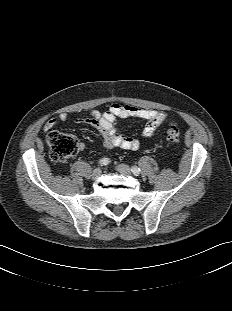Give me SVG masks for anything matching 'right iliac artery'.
Here are the masks:
<instances>
[{
    "instance_id": "82829eb1",
    "label": "right iliac artery",
    "mask_w": 232,
    "mask_h": 311,
    "mask_svg": "<svg viewBox=\"0 0 232 311\" xmlns=\"http://www.w3.org/2000/svg\"><path fill=\"white\" fill-rule=\"evenodd\" d=\"M109 163H110V160L108 158H103L99 161L100 166H105V165H108Z\"/></svg>"
}]
</instances>
